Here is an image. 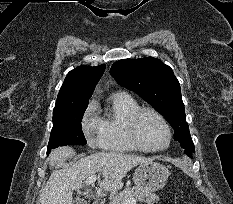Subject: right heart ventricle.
Wrapping results in <instances>:
<instances>
[{"mask_svg": "<svg viewBox=\"0 0 233 204\" xmlns=\"http://www.w3.org/2000/svg\"><path fill=\"white\" fill-rule=\"evenodd\" d=\"M138 108V102L125 93H116L110 99L106 112L99 117L103 148L108 151H137L127 132V120Z\"/></svg>", "mask_w": 233, "mask_h": 204, "instance_id": "right-heart-ventricle-1", "label": "right heart ventricle"}]
</instances>
